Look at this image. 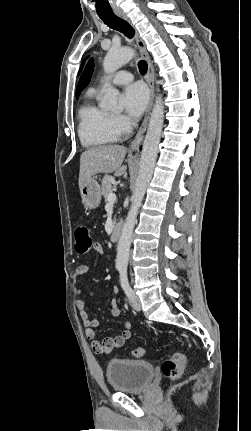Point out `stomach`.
I'll return each mask as SVG.
<instances>
[{"instance_id":"1","label":"stomach","mask_w":251,"mask_h":431,"mask_svg":"<svg viewBox=\"0 0 251 431\" xmlns=\"http://www.w3.org/2000/svg\"><path fill=\"white\" fill-rule=\"evenodd\" d=\"M80 192L85 208L94 209L99 206L102 192L99 183L94 178L87 180L80 189Z\"/></svg>"}]
</instances>
